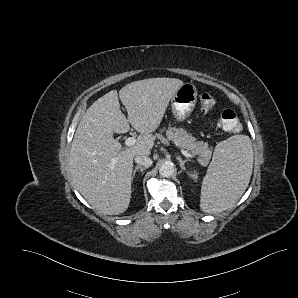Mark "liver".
<instances>
[{
    "label": "liver",
    "mask_w": 298,
    "mask_h": 298,
    "mask_svg": "<svg viewBox=\"0 0 298 298\" xmlns=\"http://www.w3.org/2000/svg\"><path fill=\"white\" fill-rule=\"evenodd\" d=\"M184 84L181 79L157 77L126 84L98 98L76 129L69 168L76 189L105 215L124 213L131 198L133 158L149 156L170 100ZM127 110V118L120 109ZM140 133L136 143L122 148L113 134Z\"/></svg>",
    "instance_id": "obj_1"
}]
</instances>
